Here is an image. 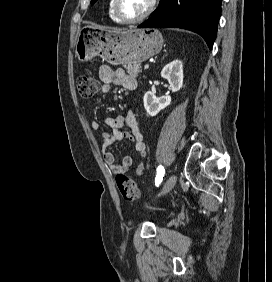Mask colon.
<instances>
[{
	"label": "colon",
	"mask_w": 272,
	"mask_h": 282,
	"mask_svg": "<svg viewBox=\"0 0 272 282\" xmlns=\"http://www.w3.org/2000/svg\"><path fill=\"white\" fill-rule=\"evenodd\" d=\"M79 96L91 100L102 89V84L92 72L84 73L77 79ZM116 184L120 195L129 202H138L140 193L137 184L122 171L117 172Z\"/></svg>",
	"instance_id": "5ec220e1"
}]
</instances>
